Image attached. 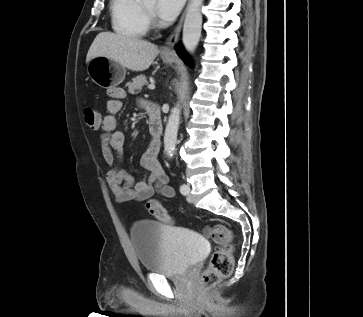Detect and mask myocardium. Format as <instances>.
<instances>
[{
	"label": "myocardium",
	"mask_w": 363,
	"mask_h": 317,
	"mask_svg": "<svg viewBox=\"0 0 363 317\" xmlns=\"http://www.w3.org/2000/svg\"><path fill=\"white\" fill-rule=\"evenodd\" d=\"M141 8H142V11H143L147 21H150L153 23V25H156V19H155L154 12L149 10L148 8H146L144 3H141Z\"/></svg>",
	"instance_id": "obj_1"
}]
</instances>
